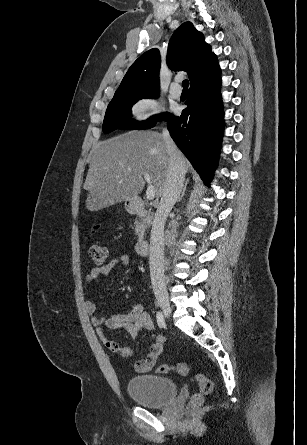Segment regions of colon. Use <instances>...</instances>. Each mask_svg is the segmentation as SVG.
I'll list each match as a JSON object with an SVG mask.
<instances>
[{
  "instance_id": "1",
  "label": "colon",
  "mask_w": 307,
  "mask_h": 445,
  "mask_svg": "<svg viewBox=\"0 0 307 445\" xmlns=\"http://www.w3.org/2000/svg\"><path fill=\"white\" fill-rule=\"evenodd\" d=\"M89 255L93 261V263L98 266H104L107 257H108V249L107 247L99 244H93L89 247ZM158 373H169L176 372L179 375H187L189 373V365L187 363H177V364H161L157 367ZM196 380L199 385V391L194 394L192 398L193 404H200L203 400V397L210 394L213 390V382L203 373H198L196 375Z\"/></svg>"
}]
</instances>
